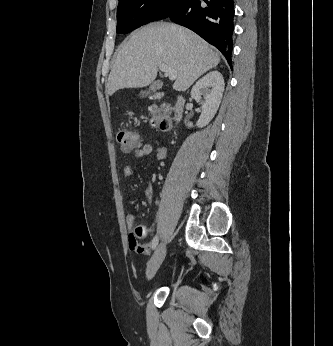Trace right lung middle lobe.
<instances>
[{"instance_id": "right-lung-middle-lobe-1", "label": "right lung middle lobe", "mask_w": 333, "mask_h": 346, "mask_svg": "<svg viewBox=\"0 0 333 346\" xmlns=\"http://www.w3.org/2000/svg\"><path fill=\"white\" fill-rule=\"evenodd\" d=\"M184 0H119L117 33H129L152 21L167 18Z\"/></svg>"}]
</instances>
